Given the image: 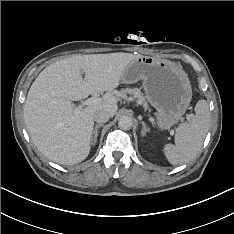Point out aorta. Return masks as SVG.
Listing matches in <instances>:
<instances>
[{
	"instance_id": "1",
	"label": "aorta",
	"mask_w": 234,
	"mask_h": 234,
	"mask_svg": "<svg viewBox=\"0 0 234 234\" xmlns=\"http://www.w3.org/2000/svg\"><path fill=\"white\" fill-rule=\"evenodd\" d=\"M118 126L123 130H129L133 126V120L130 116L123 115L118 120Z\"/></svg>"
}]
</instances>
